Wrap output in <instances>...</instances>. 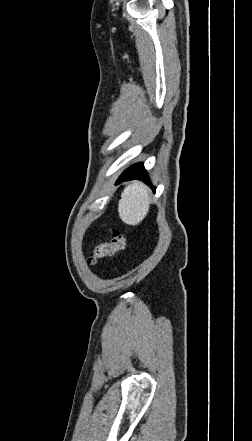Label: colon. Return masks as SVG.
<instances>
[{"label":"colon","instance_id":"colon-1","mask_svg":"<svg viewBox=\"0 0 252 441\" xmlns=\"http://www.w3.org/2000/svg\"><path fill=\"white\" fill-rule=\"evenodd\" d=\"M125 245V236L118 230H113L110 240L95 245L91 255L88 258V263L95 264L102 259L110 257L116 252L123 250Z\"/></svg>","mask_w":252,"mask_h":441}]
</instances>
